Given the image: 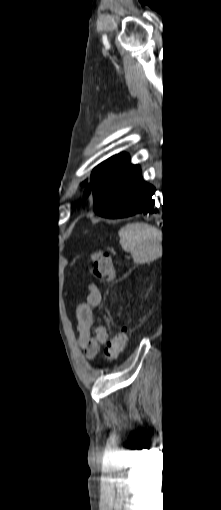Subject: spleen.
<instances>
[{"label":"spleen","mask_w":221,"mask_h":510,"mask_svg":"<svg viewBox=\"0 0 221 510\" xmlns=\"http://www.w3.org/2000/svg\"><path fill=\"white\" fill-rule=\"evenodd\" d=\"M120 244L124 251L133 253L136 263L155 259L161 251V231L146 223H130L119 232Z\"/></svg>","instance_id":"1"}]
</instances>
